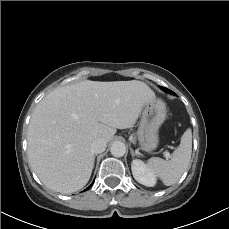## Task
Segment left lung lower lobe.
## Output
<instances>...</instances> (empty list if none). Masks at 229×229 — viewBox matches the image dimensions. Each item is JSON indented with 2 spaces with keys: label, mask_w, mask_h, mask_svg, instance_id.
<instances>
[{
  "label": "left lung lower lobe",
  "mask_w": 229,
  "mask_h": 229,
  "mask_svg": "<svg viewBox=\"0 0 229 229\" xmlns=\"http://www.w3.org/2000/svg\"><path fill=\"white\" fill-rule=\"evenodd\" d=\"M165 89H167V88H165ZM164 90V89H163ZM166 92H169V93H171V94H175L174 92H172L171 90H169L168 89V91H166Z\"/></svg>",
  "instance_id": "1"
}]
</instances>
